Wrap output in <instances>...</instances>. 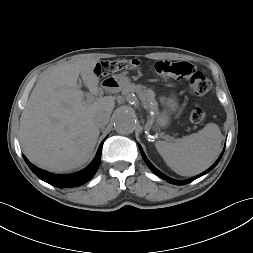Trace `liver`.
Wrapping results in <instances>:
<instances>
[{"instance_id": "1", "label": "liver", "mask_w": 253, "mask_h": 253, "mask_svg": "<svg viewBox=\"0 0 253 253\" xmlns=\"http://www.w3.org/2000/svg\"><path fill=\"white\" fill-rule=\"evenodd\" d=\"M99 59L68 62L45 74L35 85L20 118V143L30 161L41 168L63 172L86 163L100 134L95 117L111 114L115 97L84 101L79 75L98 95L94 68Z\"/></svg>"}]
</instances>
